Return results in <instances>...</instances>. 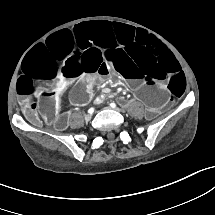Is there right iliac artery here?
<instances>
[{
  "mask_svg": "<svg viewBox=\"0 0 215 215\" xmlns=\"http://www.w3.org/2000/svg\"><path fill=\"white\" fill-rule=\"evenodd\" d=\"M93 111H94V108H90V109L88 110L89 113H92Z\"/></svg>",
  "mask_w": 215,
  "mask_h": 215,
  "instance_id": "1",
  "label": "right iliac artery"
}]
</instances>
